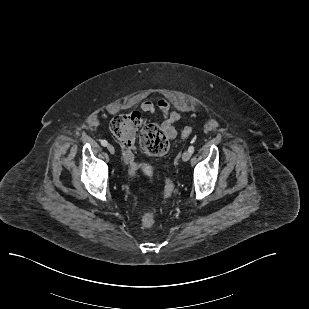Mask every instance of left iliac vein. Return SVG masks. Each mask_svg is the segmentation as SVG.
Returning a JSON list of instances; mask_svg holds the SVG:
<instances>
[{
	"instance_id": "obj_1",
	"label": "left iliac vein",
	"mask_w": 309,
	"mask_h": 309,
	"mask_svg": "<svg viewBox=\"0 0 309 309\" xmlns=\"http://www.w3.org/2000/svg\"><path fill=\"white\" fill-rule=\"evenodd\" d=\"M191 157V153L189 151H185L183 154H182V160L184 162L188 161Z\"/></svg>"
}]
</instances>
